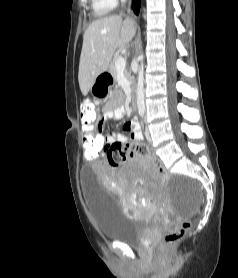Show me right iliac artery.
Here are the masks:
<instances>
[{"label": "right iliac artery", "mask_w": 238, "mask_h": 278, "mask_svg": "<svg viewBox=\"0 0 238 278\" xmlns=\"http://www.w3.org/2000/svg\"><path fill=\"white\" fill-rule=\"evenodd\" d=\"M140 116L143 118V114H140Z\"/></svg>", "instance_id": "82829eb1"}]
</instances>
